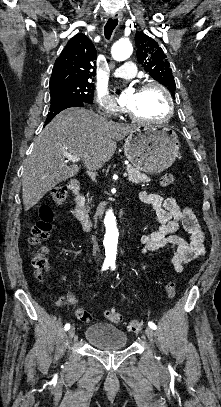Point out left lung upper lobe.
I'll list each match as a JSON object with an SVG mask.
<instances>
[{"instance_id":"left-lung-upper-lobe-1","label":"left lung upper lobe","mask_w":221,"mask_h":407,"mask_svg":"<svg viewBox=\"0 0 221 407\" xmlns=\"http://www.w3.org/2000/svg\"><path fill=\"white\" fill-rule=\"evenodd\" d=\"M137 60L153 79L167 87L175 98V80L167 56L158 43L143 32H136Z\"/></svg>"}]
</instances>
